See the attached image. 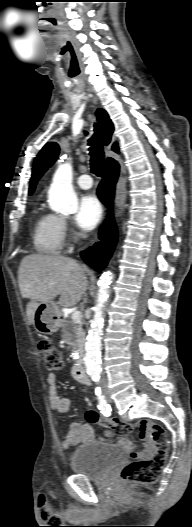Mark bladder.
Segmentation results:
<instances>
[{"mask_svg": "<svg viewBox=\"0 0 192 527\" xmlns=\"http://www.w3.org/2000/svg\"><path fill=\"white\" fill-rule=\"evenodd\" d=\"M125 451L112 444L94 441L79 448L70 458L73 472L89 480H102L126 460Z\"/></svg>", "mask_w": 192, "mask_h": 527, "instance_id": "bladder-1", "label": "bladder"}]
</instances>
